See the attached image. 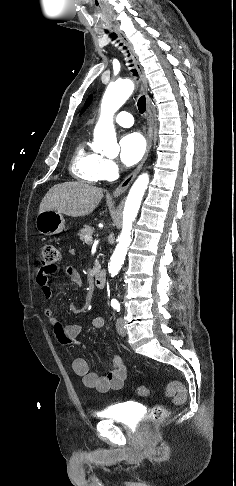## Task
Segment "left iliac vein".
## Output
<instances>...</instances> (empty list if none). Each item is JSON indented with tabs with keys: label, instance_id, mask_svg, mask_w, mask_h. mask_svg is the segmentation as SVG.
Masks as SVG:
<instances>
[{
	"label": "left iliac vein",
	"instance_id": "obj_1",
	"mask_svg": "<svg viewBox=\"0 0 236 486\" xmlns=\"http://www.w3.org/2000/svg\"><path fill=\"white\" fill-rule=\"evenodd\" d=\"M116 330L118 332L119 335L121 336H125L127 331L126 329L124 328V321L122 318H119L116 322Z\"/></svg>",
	"mask_w": 236,
	"mask_h": 486
}]
</instances>
